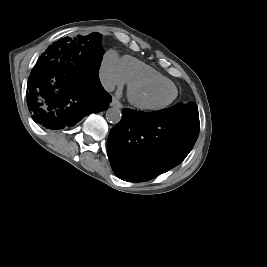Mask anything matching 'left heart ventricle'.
<instances>
[{"instance_id":"left-heart-ventricle-1","label":"left heart ventricle","mask_w":267,"mask_h":267,"mask_svg":"<svg viewBox=\"0 0 267 267\" xmlns=\"http://www.w3.org/2000/svg\"><path fill=\"white\" fill-rule=\"evenodd\" d=\"M175 94L171 85H149L136 90V98L149 105H161L170 101Z\"/></svg>"}]
</instances>
